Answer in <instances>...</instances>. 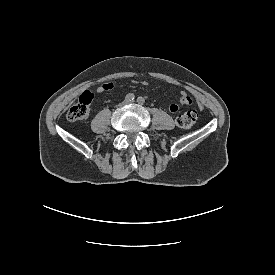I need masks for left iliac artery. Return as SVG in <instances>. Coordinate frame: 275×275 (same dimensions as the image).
I'll list each match as a JSON object with an SVG mask.
<instances>
[{"label":"left iliac artery","mask_w":275,"mask_h":275,"mask_svg":"<svg viewBox=\"0 0 275 275\" xmlns=\"http://www.w3.org/2000/svg\"><path fill=\"white\" fill-rule=\"evenodd\" d=\"M137 102H138L139 104H144V103H145V99H144L143 97H139V98L137 99Z\"/></svg>","instance_id":"obj_1"}]
</instances>
